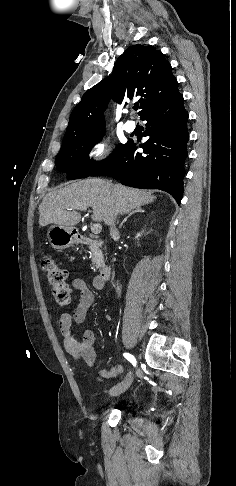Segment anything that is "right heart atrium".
<instances>
[{"instance_id": "obj_1", "label": "right heart atrium", "mask_w": 236, "mask_h": 486, "mask_svg": "<svg viewBox=\"0 0 236 486\" xmlns=\"http://www.w3.org/2000/svg\"><path fill=\"white\" fill-rule=\"evenodd\" d=\"M110 150H111V146H110V143L101 138V139H98L91 147L90 151H89V158L90 160L92 161H101L103 159H105L109 153H110Z\"/></svg>"}]
</instances>
